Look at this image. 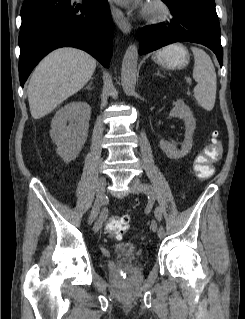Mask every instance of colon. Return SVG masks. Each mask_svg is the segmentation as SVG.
<instances>
[{
	"mask_svg": "<svg viewBox=\"0 0 245 319\" xmlns=\"http://www.w3.org/2000/svg\"><path fill=\"white\" fill-rule=\"evenodd\" d=\"M222 154V144L216 136L198 155L194 163V173L199 179H207L214 173V164L220 159ZM129 217L127 215L111 217L106 223V229L121 237L128 229Z\"/></svg>",
	"mask_w": 245,
	"mask_h": 319,
	"instance_id": "5ec220e1",
	"label": "colon"
}]
</instances>
